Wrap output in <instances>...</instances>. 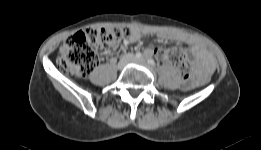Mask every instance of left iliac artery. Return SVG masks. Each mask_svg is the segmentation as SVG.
<instances>
[{
	"mask_svg": "<svg viewBox=\"0 0 261 150\" xmlns=\"http://www.w3.org/2000/svg\"><path fill=\"white\" fill-rule=\"evenodd\" d=\"M148 64L151 66H155V61L153 59H148Z\"/></svg>",
	"mask_w": 261,
	"mask_h": 150,
	"instance_id": "left-iliac-artery-1",
	"label": "left iliac artery"
}]
</instances>
